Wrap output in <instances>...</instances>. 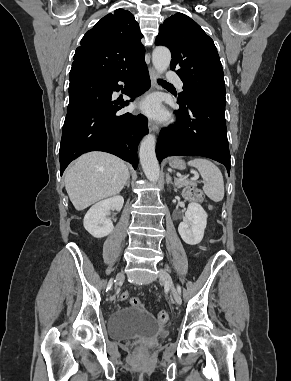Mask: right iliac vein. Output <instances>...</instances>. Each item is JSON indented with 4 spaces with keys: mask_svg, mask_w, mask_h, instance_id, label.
I'll return each instance as SVG.
<instances>
[{
    "mask_svg": "<svg viewBox=\"0 0 291 381\" xmlns=\"http://www.w3.org/2000/svg\"><path fill=\"white\" fill-rule=\"evenodd\" d=\"M123 278H124V275H123L122 272H120V273L117 275V280H118V282L121 281V280H123ZM116 291H117V287H116Z\"/></svg>",
    "mask_w": 291,
    "mask_h": 381,
    "instance_id": "right-iliac-vein-1",
    "label": "right iliac vein"
}]
</instances>
